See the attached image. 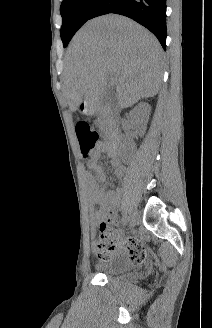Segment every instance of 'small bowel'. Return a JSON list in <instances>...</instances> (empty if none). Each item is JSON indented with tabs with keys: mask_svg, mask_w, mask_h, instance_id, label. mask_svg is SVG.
<instances>
[{
	"mask_svg": "<svg viewBox=\"0 0 212 328\" xmlns=\"http://www.w3.org/2000/svg\"><path fill=\"white\" fill-rule=\"evenodd\" d=\"M104 152L105 143L100 142L96 147L92 159L88 163V166L95 172V176L87 174L85 179L88 200L91 204L98 205L97 210L92 214V222L95 226H100L106 222L115 223L121 202L118 191L106 190L105 188L106 174L97 162L99 156ZM112 166L115 169L116 177L122 178L125 174V167L118 160H113ZM142 251L144 250L139 239L134 237L124 239L120 237L111 256L125 259L127 257L130 261L136 262L137 257Z\"/></svg>",
	"mask_w": 212,
	"mask_h": 328,
	"instance_id": "small-bowel-1",
	"label": "small bowel"
}]
</instances>
